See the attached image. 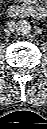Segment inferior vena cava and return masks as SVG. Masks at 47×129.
Instances as JSON below:
<instances>
[{"label":"inferior vena cava","mask_w":47,"mask_h":129,"mask_svg":"<svg viewBox=\"0 0 47 129\" xmlns=\"http://www.w3.org/2000/svg\"><path fill=\"white\" fill-rule=\"evenodd\" d=\"M14 30V26H12V24L9 25V27L6 29V33L9 35L13 32Z\"/></svg>","instance_id":"obj_1"}]
</instances>
